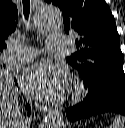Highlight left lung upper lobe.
Returning a JSON list of instances; mask_svg holds the SVG:
<instances>
[{
	"instance_id": "1",
	"label": "left lung upper lobe",
	"mask_w": 125,
	"mask_h": 128,
	"mask_svg": "<svg viewBox=\"0 0 125 128\" xmlns=\"http://www.w3.org/2000/svg\"><path fill=\"white\" fill-rule=\"evenodd\" d=\"M45 1L62 11L66 33H78L77 51L66 61L79 71L89 90L97 92L107 83L125 78L120 37L104 0Z\"/></svg>"
}]
</instances>
